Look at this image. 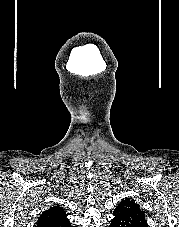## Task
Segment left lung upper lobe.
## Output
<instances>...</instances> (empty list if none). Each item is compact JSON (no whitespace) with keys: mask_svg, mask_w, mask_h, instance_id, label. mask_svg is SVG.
<instances>
[{"mask_svg":"<svg viewBox=\"0 0 179 227\" xmlns=\"http://www.w3.org/2000/svg\"><path fill=\"white\" fill-rule=\"evenodd\" d=\"M113 215L114 227H148L144 212L140 209L139 204L128 198L122 200Z\"/></svg>","mask_w":179,"mask_h":227,"instance_id":"5c2ea615","label":"left lung upper lobe"}]
</instances>
